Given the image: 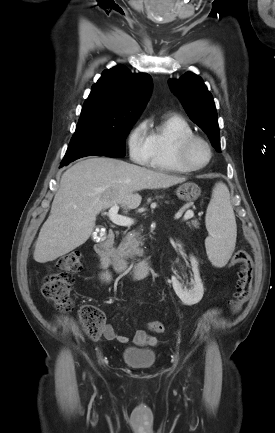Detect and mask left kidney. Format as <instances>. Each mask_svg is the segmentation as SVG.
Instances as JSON below:
<instances>
[{"mask_svg": "<svg viewBox=\"0 0 275 433\" xmlns=\"http://www.w3.org/2000/svg\"><path fill=\"white\" fill-rule=\"evenodd\" d=\"M190 261L192 265V271L194 273V283L191 289L183 288L182 284L179 283L176 277H172L171 279L175 293L186 305H193L198 303L202 299L204 294V288L198 269V261L193 256L190 257Z\"/></svg>", "mask_w": 275, "mask_h": 433, "instance_id": "left-kidney-1", "label": "left kidney"}]
</instances>
